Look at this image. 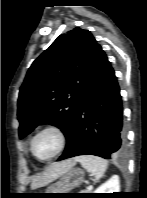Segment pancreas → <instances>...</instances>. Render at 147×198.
Listing matches in <instances>:
<instances>
[{
    "instance_id": "pancreas-1",
    "label": "pancreas",
    "mask_w": 147,
    "mask_h": 198,
    "mask_svg": "<svg viewBox=\"0 0 147 198\" xmlns=\"http://www.w3.org/2000/svg\"><path fill=\"white\" fill-rule=\"evenodd\" d=\"M83 193H89V189L87 191H83Z\"/></svg>"
}]
</instances>
